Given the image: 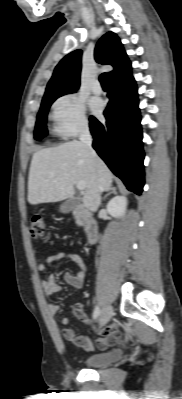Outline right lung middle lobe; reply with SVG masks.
<instances>
[{
  "instance_id": "dd1d6c3e",
  "label": "right lung middle lobe",
  "mask_w": 182,
  "mask_h": 399,
  "mask_svg": "<svg viewBox=\"0 0 182 399\" xmlns=\"http://www.w3.org/2000/svg\"><path fill=\"white\" fill-rule=\"evenodd\" d=\"M58 97H51L42 100L40 111L37 116L36 126H35V139L40 140L47 135L46 129V119L49 107Z\"/></svg>"
}]
</instances>
